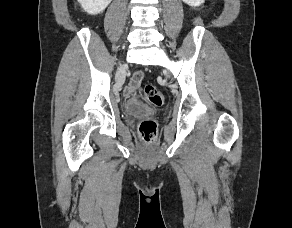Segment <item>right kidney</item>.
Listing matches in <instances>:
<instances>
[{
  "label": "right kidney",
  "mask_w": 292,
  "mask_h": 228,
  "mask_svg": "<svg viewBox=\"0 0 292 228\" xmlns=\"http://www.w3.org/2000/svg\"><path fill=\"white\" fill-rule=\"evenodd\" d=\"M112 0H78L88 14L97 15L103 12Z\"/></svg>",
  "instance_id": "1"
}]
</instances>
